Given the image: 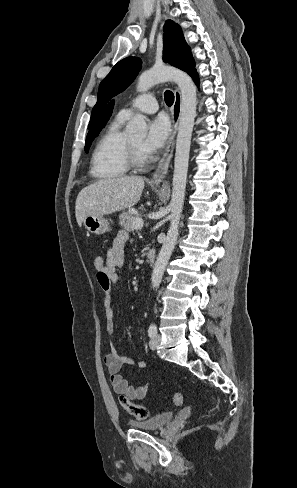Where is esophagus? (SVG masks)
I'll return each instance as SVG.
<instances>
[{"label":"esophagus","instance_id":"34e87169","mask_svg":"<svg viewBox=\"0 0 297 488\" xmlns=\"http://www.w3.org/2000/svg\"><path fill=\"white\" fill-rule=\"evenodd\" d=\"M174 103L172 106V133L170 135V138L168 140L165 152L159 161L157 168L155 172L153 173L152 176V182L153 183H161L168 172V168L173 156V151H174V145H175V136L177 133L178 129V123L180 120V115H181V106H182V98H181V93L178 88L175 89L174 93Z\"/></svg>","mask_w":297,"mask_h":488}]
</instances>
